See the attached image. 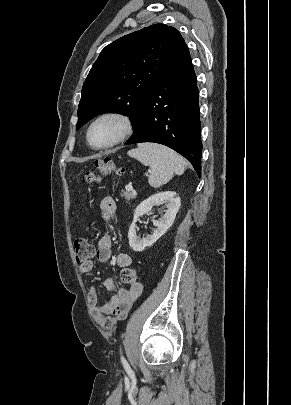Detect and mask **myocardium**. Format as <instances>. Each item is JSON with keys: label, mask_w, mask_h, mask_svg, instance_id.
<instances>
[{"label": "myocardium", "mask_w": 291, "mask_h": 405, "mask_svg": "<svg viewBox=\"0 0 291 405\" xmlns=\"http://www.w3.org/2000/svg\"><path fill=\"white\" fill-rule=\"evenodd\" d=\"M107 119L115 120L119 123V126H120L119 133L112 141H110L109 143H107L105 145H102V146L92 145L91 141H90L91 130L97 123H99L103 120H107ZM132 133H133V122L129 115H127L123 112H120V111H114V110L105 111V112L97 115L90 122V124L86 130V142H87V145L93 150H107V149L113 148V147L121 144L125 140H127L131 136Z\"/></svg>", "instance_id": "f54148a6"}]
</instances>
